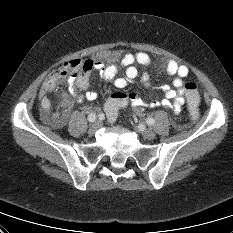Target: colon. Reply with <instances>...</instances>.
<instances>
[{"instance_id":"colon-1","label":"colon","mask_w":233,"mask_h":233,"mask_svg":"<svg viewBox=\"0 0 233 233\" xmlns=\"http://www.w3.org/2000/svg\"><path fill=\"white\" fill-rule=\"evenodd\" d=\"M93 63L90 60L74 59L65 63L58 71L49 76L46 86L41 89V104L44 109L50 107L51 102L48 95L55 90L58 83L67 76L78 77L92 70ZM188 106L193 118L198 115L199 94L194 82L184 85ZM129 95L124 92H115L105 105V114L110 122H113L121 109L128 103Z\"/></svg>"}]
</instances>
